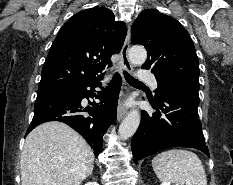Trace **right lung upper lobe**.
<instances>
[{
    "instance_id": "cb5924a9",
    "label": "right lung upper lobe",
    "mask_w": 233,
    "mask_h": 185,
    "mask_svg": "<svg viewBox=\"0 0 233 185\" xmlns=\"http://www.w3.org/2000/svg\"><path fill=\"white\" fill-rule=\"evenodd\" d=\"M105 7L83 10L60 29L44 63L39 89L101 79L119 53L127 28Z\"/></svg>"
}]
</instances>
